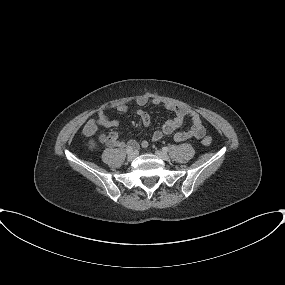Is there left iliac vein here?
Instances as JSON below:
<instances>
[{
    "mask_svg": "<svg viewBox=\"0 0 285 285\" xmlns=\"http://www.w3.org/2000/svg\"><path fill=\"white\" fill-rule=\"evenodd\" d=\"M155 154H156L159 158H161L162 160H168V159H169V156H168L165 152H163V151H161V150L155 151Z\"/></svg>",
    "mask_w": 285,
    "mask_h": 285,
    "instance_id": "1",
    "label": "left iliac vein"
}]
</instances>
